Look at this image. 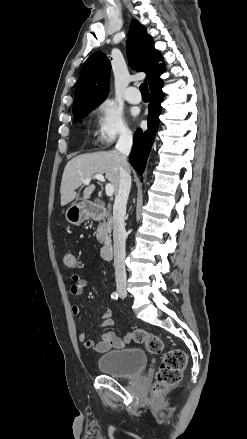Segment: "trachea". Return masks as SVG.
Instances as JSON below:
<instances>
[{
  "instance_id": "obj_1",
  "label": "trachea",
  "mask_w": 247,
  "mask_h": 439,
  "mask_svg": "<svg viewBox=\"0 0 247 439\" xmlns=\"http://www.w3.org/2000/svg\"><path fill=\"white\" fill-rule=\"evenodd\" d=\"M140 91L142 96H149L148 84L146 82L140 85Z\"/></svg>"
}]
</instances>
